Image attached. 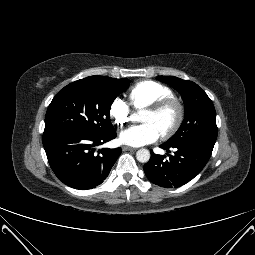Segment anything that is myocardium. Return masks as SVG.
Listing matches in <instances>:
<instances>
[{
    "mask_svg": "<svg viewBox=\"0 0 255 255\" xmlns=\"http://www.w3.org/2000/svg\"><path fill=\"white\" fill-rule=\"evenodd\" d=\"M171 107L175 109L176 116L173 123L161 133L163 138L172 136L180 128L185 116V108L182 101L175 96H171L158 100L146 107V110L153 113H161Z\"/></svg>",
    "mask_w": 255,
    "mask_h": 255,
    "instance_id": "obj_1",
    "label": "myocardium"
}]
</instances>
